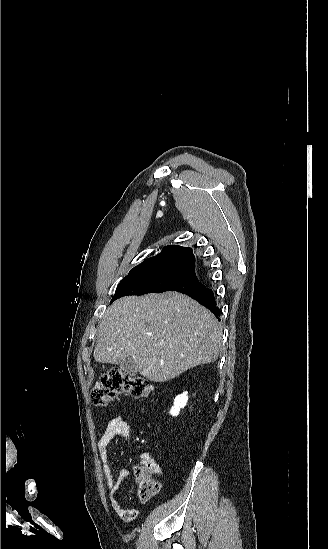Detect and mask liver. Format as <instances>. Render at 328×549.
Returning a JSON list of instances; mask_svg holds the SVG:
<instances>
[{
  "label": "liver",
  "instance_id": "1",
  "mask_svg": "<svg viewBox=\"0 0 328 549\" xmlns=\"http://www.w3.org/2000/svg\"><path fill=\"white\" fill-rule=\"evenodd\" d=\"M222 329L213 313L180 293L122 297L98 325L97 363L135 359L140 375L164 383L197 365L214 363Z\"/></svg>",
  "mask_w": 328,
  "mask_h": 549
}]
</instances>
